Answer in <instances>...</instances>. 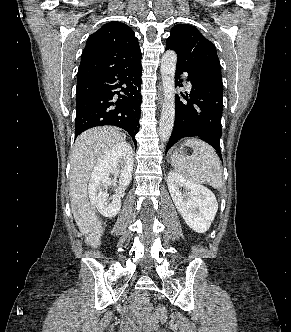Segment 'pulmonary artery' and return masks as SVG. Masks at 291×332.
<instances>
[{"label": "pulmonary artery", "instance_id": "e3ab8cb5", "mask_svg": "<svg viewBox=\"0 0 291 332\" xmlns=\"http://www.w3.org/2000/svg\"><path fill=\"white\" fill-rule=\"evenodd\" d=\"M188 84H189V86H191V83H190V82H188Z\"/></svg>", "mask_w": 291, "mask_h": 332}]
</instances>
